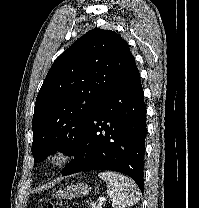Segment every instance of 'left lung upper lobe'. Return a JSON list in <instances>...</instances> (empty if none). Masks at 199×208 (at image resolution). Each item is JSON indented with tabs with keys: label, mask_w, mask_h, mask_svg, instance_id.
Instances as JSON below:
<instances>
[{
	"label": "left lung upper lobe",
	"mask_w": 199,
	"mask_h": 208,
	"mask_svg": "<svg viewBox=\"0 0 199 208\" xmlns=\"http://www.w3.org/2000/svg\"><path fill=\"white\" fill-rule=\"evenodd\" d=\"M134 62L127 42L111 30L93 29L65 50L36 98L34 161L56 151L73 154L94 109Z\"/></svg>",
	"instance_id": "left-lung-upper-lobe-1"
}]
</instances>
